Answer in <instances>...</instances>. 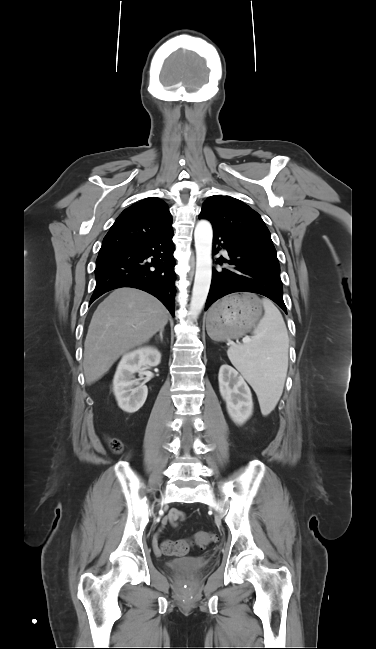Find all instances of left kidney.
Returning a JSON list of instances; mask_svg holds the SVG:
<instances>
[{"instance_id":"1","label":"left kidney","mask_w":376,"mask_h":649,"mask_svg":"<svg viewBox=\"0 0 376 649\" xmlns=\"http://www.w3.org/2000/svg\"><path fill=\"white\" fill-rule=\"evenodd\" d=\"M219 390L227 411L236 424L245 423L252 415L253 400L244 378L231 366L222 365L218 375Z\"/></svg>"}]
</instances>
